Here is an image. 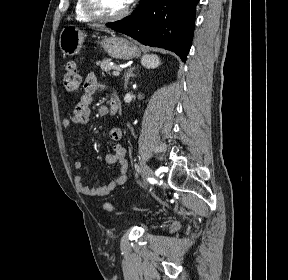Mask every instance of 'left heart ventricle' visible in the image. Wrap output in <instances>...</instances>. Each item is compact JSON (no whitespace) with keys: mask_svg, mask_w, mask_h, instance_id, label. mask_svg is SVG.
<instances>
[{"mask_svg":"<svg viewBox=\"0 0 288 280\" xmlns=\"http://www.w3.org/2000/svg\"><path fill=\"white\" fill-rule=\"evenodd\" d=\"M98 8L105 14L113 15L125 9V0H95Z\"/></svg>","mask_w":288,"mask_h":280,"instance_id":"1","label":"left heart ventricle"}]
</instances>
